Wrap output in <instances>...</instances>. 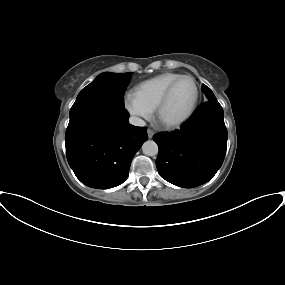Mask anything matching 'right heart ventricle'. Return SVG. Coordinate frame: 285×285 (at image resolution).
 Instances as JSON below:
<instances>
[{
  "label": "right heart ventricle",
  "instance_id": "right-heart-ventricle-1",
  "mask_svg": "<svg viewBox=\"0 0 285 285\" xmlns=\"http://www.w3.org/2000/svg\"><path fill=\"white\" fill-rule=\"evenodd\" d=\"M180 75L166 72L145 80L134 88L133 95L141 105L153 111L168 85Z\"/></svg>",
  "mask_w": 285,
  "mask_h": 285
}]
</instances>
